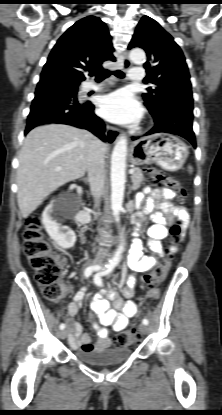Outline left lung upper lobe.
<instances>
[{"instance_id":"obj_1","label":"left lung upper lobe","mask_w":222,"mask_h":415,"mask_svg":"<svg viewBox=\"0 0 222 415\" xmlns=\"http://www.w3.org/2000/svg\"><path fill=\"white\" fill-rule=\"evenodd\" d=\"M140 47L147 54L144 68L147 72L145 83L152 84L143 93V99L148 110L164 114H178L181 103L174 99L168 107L161 108V99L166 93L175 90L177 86L191 87L190 75L182 50L173 37L166 32L154 19L144 16L137 25L128 49Z\"/></svg>"}]
</instances>
